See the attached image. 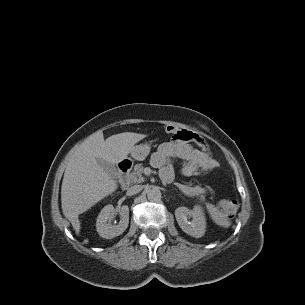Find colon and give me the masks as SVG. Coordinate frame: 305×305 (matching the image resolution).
<instances>
[{
    "instance_id": "obj_1",
    "label": "colon",
    "mask_w": 305,
    "mask_h": 305,
    "mask_svg": "<svg viewBox=\"0 0 305 305\" xmlns=\"http://www.w3.org/2000/svg\"><path fill=\"white\" fill-rule=\"evenodd\" d=\"M164 130L168 134H173L174 137L177 138L185 137L184 131L180 130L179 128L173 125L166 126ZM238 207H239V203L233 197H224L219 201V209L227 217H233L236 214Z\"/></svg>"
}]
</instances>
